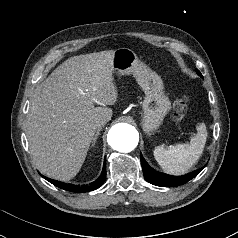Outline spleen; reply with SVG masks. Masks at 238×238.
Instances as JSON below:
<instances>
[{
  "mask_svg": "<svg viewBox=\"0 0 238 238\" xmlns=\"http://www.w3.org/2000/svg\"><path fill=\"white\" fill-rule=\"evenodd\" d=\"M207 139L204 123L197 126V134L190 143L177 144L165 148L158 146L154 149V157L161 168L167 173L180 175L186 173L200 158Z\"/></svg>",
  "mask_w": 238,
  "mask_h": 238,
  "instance_id": "spleen-1",
  "label": "spleen"
}]
</instances>
